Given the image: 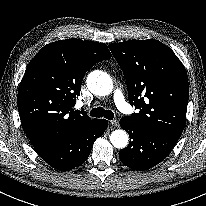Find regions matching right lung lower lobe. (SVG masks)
I'll list each match as a JSON object with an SVG mask.
<instances>
[{"mask_svg":"<svg viewBox=\"0 0 206 206\" xmlns=\"http://www.w3.org/2000/svg\"><path fill=\"white\" fill-rule=\"evenodd\" d=\"M108 122L96 119L74 136L48 145L34 147L36 153L50 166L68 171L82 165L91 152L94 141L104 134Z\"/></svg>","mask_w":206,"mask_h":206,"instance_id":"obj_1","label":"right lung lower lobe"}]
</instances>
